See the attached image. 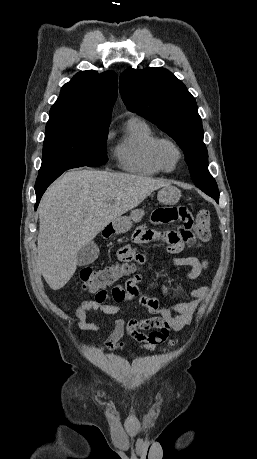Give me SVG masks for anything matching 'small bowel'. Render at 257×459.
I'll use <instances>...</instances> for the list:
<instances>
[{
  "mask_svg": "<svg viewBox=\"0 0 257 459\" xmlns=\"http://www.w3.org/2000/svg\"><path fill=\"white\" fill-rule=\"evenodd\" d=\"M146 220L150 226H167L168 232L162 235L161 232H155L152 227H133L131 240H125L124 246H118L115 250L117 264H147L148 261H156L157 254L153 249H146L145 246L137 244L160 241L164 251H167V256L172 257L175 267H188L181 275L182 280L194 281L208 269L207 260H200L195 256H180V251L185 250V244L188 247L195 245L197 229L194 227L190 205H155L154 213H147ZM161 289L166 297L178 295L171 290L167 281L162 283ZM105 294V301L95 298L85 300L79 305L75 311L78 330L101 331L105 327L89 321L90 314L112 316L132 302H137L146 310L149 317L112 319L106 346L110 350L124 347L126 343L122 338L127 334L132 340L143 343L142 350L153 351L158 344L167 339L170 331H180L190 324L208 294V287L191 288L181 293V296L189 299L188 301L161 305L158 298L146 294L139 287V277L135 276L128 279L124 285L118 284L111 290H106ZM108 299H112L114 303L106 302Z\"/></svg>",
  "mask_w": 257,
  "mask_h": 459,
  "instance_id": "1",
  "label": "small bowel"
}]
</instances>
